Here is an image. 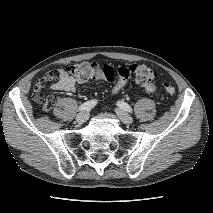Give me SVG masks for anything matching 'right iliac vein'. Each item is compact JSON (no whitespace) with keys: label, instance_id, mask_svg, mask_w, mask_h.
<instances>
[{"label":"right iliac vein","instance_id":"1","mask_svg":"<svg viewBox=\"0 0 213 213\" xmlns=\"http://www.w3.org/2000/svg\"><path fill=\"white\" fill-rule=\"evenodd\" d=\"M87 119H88V113L87 112H81V113L77 114V116H76V121L79 124L86 122Z\"/></svg>","mask_w":213,"mask_h":213}]
</instances>
